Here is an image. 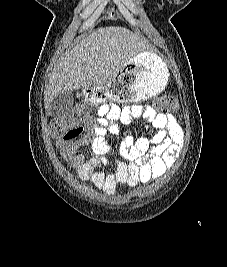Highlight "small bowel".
<instances>
[{"label":"small bowel","mask_w":227,"mask_h":267,"mask_svg":"<svg viewBox=\"0 0 227 267\" xmlns=\"http://www.w3.org/2000/svg\"><path fill=\"white\" fill-rule=\"evenodd\" d=\"M140 120L147 127L154 128L155 134L152 137L126 135L120 152L131 162H117L113 170L105 171L101 167V156L110 149L106 136L121 134L120 124L128 125ZM56 144L81 181L90 182L112 196L120 184L136 186L162 177L180 156L184 138L180 124L169 112H156L151 106L141 104L125 107L102 104L92 126H74L58 138ZM87 145H91L95 156L87 157L80 152Z\"/></svg>","instance_id":"c3829d8e"}]
</instances>
